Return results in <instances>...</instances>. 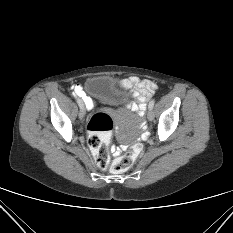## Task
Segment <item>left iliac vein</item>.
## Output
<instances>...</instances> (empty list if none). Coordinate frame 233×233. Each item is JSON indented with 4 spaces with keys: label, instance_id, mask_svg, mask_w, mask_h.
Listing matches in <instances>:
<instances>
[{
    "label": "left iliac vein",
    "instance_id": "1",
    "mask_svg": "<svg viewBox=\"0 0 233 233\" xmlns=\"http://www.w3.org/2000/svg\"><path fill=\"white\" fill-rule=\"evenodd\" d=\"M147 118H148L149 121H152V120H153L154 114H153V112H152V109H148Z\"/></svg>",
    "mask_w": 233,
    "mask_h": 233
}]
</instances>
